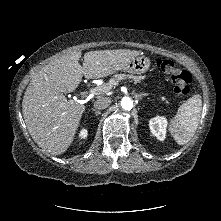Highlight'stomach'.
Listing matches in <instances>:
<instances>
[{
  "label": "stomach",
  "instance_id": "obj_1",
  "mask_svg": "<svg viewBox=\"0 0 221 221\" xmlns=\"http://www.w3.org/2000/svg\"><path fill=\"white\" fill-rule=\"evenodd\" d=\"M150 64V60L147 57L141 55L130 60L124 67L123 71L132 74H141L149 69Z\"/></svg>",
  "mask_w": 221,
  "mask_h": 221
}]
</instances>
